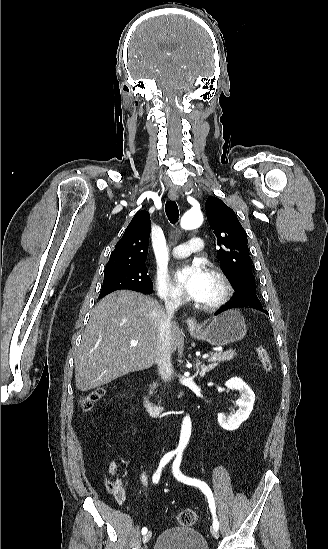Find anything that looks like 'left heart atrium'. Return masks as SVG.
Here are the masks:
<instances>
[{
  "label": "left heart atrium",
  "instance_id": "left-heart-atrium-1",
  "mask_svg": "<svg viewBox=\"0 0 328 549\" xmlns=\"http://www.w3.org/2000/svg\"><path fill=\"white\" fill-rule=\"evenodd\" d=\"M208 278L207 270L191 265L176 273L175 286L186 299L199 301L205 293Z\"/></svg>",
  "mask_w": 328,
  "mask_h": 549
}]
</instances>
